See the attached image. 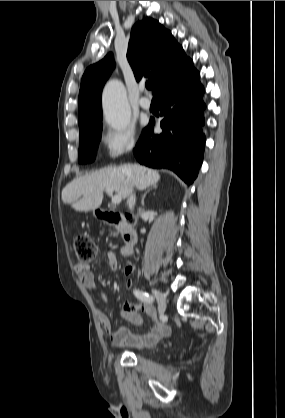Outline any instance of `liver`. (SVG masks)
I'll return each instance as SVG.
<instances>
[{
    "label": "liver",
    "mask_w": 285,
    "mask_h": 418,
    "mask_svg": "<svg viewBox=\"0 0 285 418\" xmlns=\"http://www.w3.org/2000/svg\"><path fill=\"white\" fill-rule=\"evenodd\" d=\"M159 180L158 171L139 164L107 167L74 179L62 190V200L76 211L87 212L101 206L106 188H112L125 199L132 194L134 187L143 190L156 185Z\"/></svg>",
    "instance_id": "1"
}]
</instances>
